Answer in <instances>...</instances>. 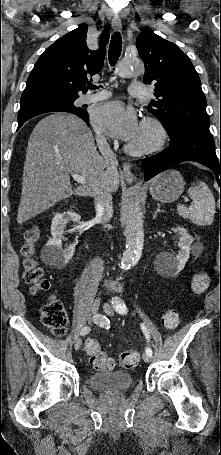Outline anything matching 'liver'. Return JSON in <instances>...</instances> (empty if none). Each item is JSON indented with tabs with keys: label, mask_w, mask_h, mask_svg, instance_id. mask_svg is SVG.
Returning a JSON list of instances; mask_svg holds the SVG:
<instances>
[{
	"label": "liver",
	"mask_w": 221,
	"mask_h": 455,
	"mask_svg": "<svg viewBox=\"0 0 221 455\" xmlns=\"http://www.w3.org/2000/svg\"><path fill=\"white\" fill-rule=\"evenodd\" d=\"M71 172L84 177L86 184L72 190ZM119 183L117 168L106 165L82 119L62 112L48 115L28 141L17 222H26L73 194L116 192Z\"/></svg>",
	"instance_id": "obj_1"
}]
</instances>
